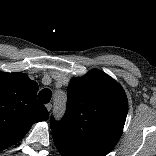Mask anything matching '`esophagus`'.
<instances>
[{"mask_svg":"<svg viewBox=\"0 0 156 156\" xmlns=\"http://www.w3.org/2000/svg\"><path fill=\"white\" fill-rule=\"evenodd\" d=\"M46 109L48 110V112H50L51 109H52V104H51V103H48V104L46 105Z\"/></svg>","mask_w":156,"mask_h":156,"instance_id":"1","label":"esophagus"}]
</instances>
